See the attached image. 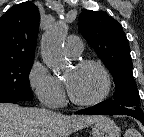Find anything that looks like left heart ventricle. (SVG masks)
<instances>
[{
  "mask_svg": "<svg viewBox=\"0 0 144 137\" xmlns=\"http://www.w3.org/2000/svg\"><path fill=\"white\" fill-rule=\"evenodd\" d=\"M64 80L73 97L81 101L97 98L104 89L102 73L91 66L83 68L73 66L65 73Z\"/></svg>",
  "mask_w": 144,
  "mask_h": 137,
  "instance_id": "left-heart-ventricle-1",
  "label": "left heart ventricle"
}]
</instances>
